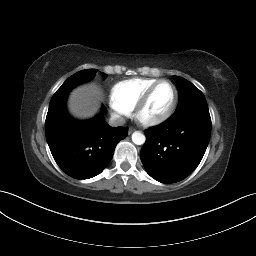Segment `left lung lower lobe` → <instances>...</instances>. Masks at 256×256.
<instances>
[{
    "label": "left lung lower lobe",
    "mask_w": 256,
    "mask_h": 256,
    "mask_svg": "<svg viewBox=\"0 0 256 256\" xmlns=\"http://www.w3.org/2000/svg\"><path fill=\"white\" fill-rule=\"evenodd\" d=\"M140 157L147 173L161 183H175L202 160L211 135L209 110L186 109L145 130Z\"/></svg>",
    "instance_id": "0a47b994"
}]
</instances>
